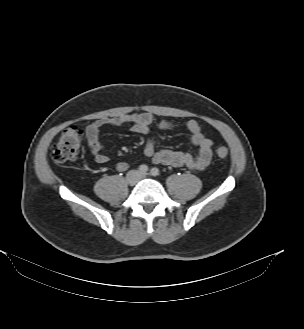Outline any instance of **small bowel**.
Returning <instances> with one entry per match:
<instances>
[{"label": "small bowel", "mask_w": 304, "mask_h": 329, "mask_svg": "<svg viewBox=\"0 0 304 329\" xmlns=\"http://www.w3.org/2000/svg\"><path fill=\"white\" fill-rule=\"evenodd\" d=\"M129 125L130 129L140 135L146 136L144 154L155 164L170 165L174 167L186 166L195 171H201L209 166L212 159L213 143L206 138L201 127L195 120L188 121L183 129L189 133L190 141L196 148L194 154L189 152L172 151L169 149L157 150L151 138L147 137L151 128L156 126L163 131H172L179 128L178 124L171 120H156L150 113H131L103 118L92 122L85 128V136L88 148L95 160L99 164L109 162V157L103 153V145L100 140L101 129L104 126ZM128 168L126 162H119L116 169L124 172Z\"/></svg>", "instance_id": "c3829d8e"}]
</instances>
